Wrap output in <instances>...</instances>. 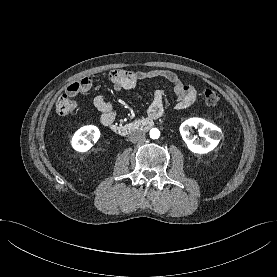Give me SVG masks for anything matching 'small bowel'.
<instances>
[{"label": "small bowel", "instance_id": "obj_1", "mask_svg": "<svg viewBox=\"0 0 277 277\" xmlns=\"http://www.w3.org/2000/svg\"><path fill=\"white\" fill-rule=\"evenodd\" d=\"M158 78L164 79L172 85L173 91L176 95L175 108L177 110L186 109L195 102L197 91L194 85L188 82H183L176 73L170 70L155 69L149 71H127L119 69L113 70L109 73V79L113 83L114 90L117 92L133 89L140 81ZM81 81L86 83V90L82 93L86 92L94 83L92 77L83 78ZM75 83L67 88L68 93L71 92L70 88ZM79 94H76L75 96ZM163 98V90H156L149 108V116L151 118L156 119L164 115L165 107ZM92 103L95 110L100 113V121L103 125L109 126V124L114 122L116 115L113 111L112 105L107 101L105 95L97 94L94 96Z\"/></svg>", "mask_w": 277, "mask_h": 277}]
</instances>
